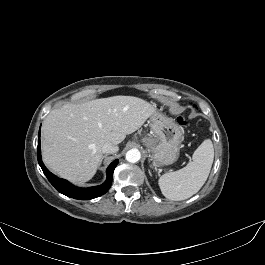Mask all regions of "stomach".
I'll return each instance as SVG.
<instances>
[{"label":"stomach","mask_w":265,"mask_h":265,"mask_svg":"<svg viewBox=\"0 0 265 265\" xmlns=\"http://www.w3.org/2000/svg\"><path fill=\"white\" fill-rule=\"evenodd\" d=\"M149 126L152 136L142 142L152 153L155 166L170 165L177 161L183 139V128L173 119L161 113L150 117Z\"/></svg>","instance_id":"stomach-1"}]
</instances>
